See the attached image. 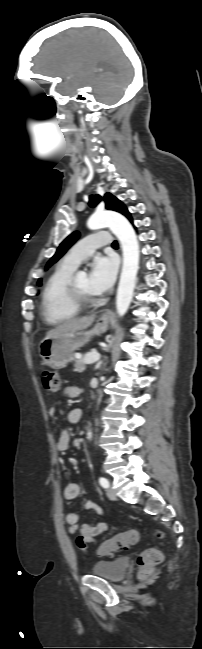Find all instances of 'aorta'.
Returning <instances> with one entry per match:
<instances>
[{
	"label": "aorta",
	"instance_id": "aorta-1",
	"mask_svg": "<svg viewBox=\"0 0 202 649\" xmlns=\"http://www.w3.org/2000/svg\"><path fill=\"white\" fill-rule=\"evenodd\" d=\"M87 226L91 230L109 227L117 236L123 251V266L116 296V310L120 317L129 309L136 284V275L139 269V243L130 222L120 213L104 211L94 213L88 220ZM92 437L91 431L87 433Z\"/></svg>",
	"mask_w": 202,
	"mask_h": 649
}]
</instances>
